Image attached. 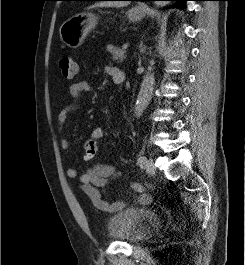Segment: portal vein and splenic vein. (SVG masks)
<instances>
[{"mask_svg":"<svg viewBox=\"0 0 245 265\" xmlns=\"http://www.w3.org/2000/svg\"><path fill=\"white\" fill-rule=\"evenodd\" d=\"M128 46H129V44H124V45L122 46V49H123V50H126V49L128 48Z\"/></svg>","mask_w":245,"mask_h":265,"instance_id":"portal-vein-and-splenic-vein-1","label":"portal vein and splenic vein"}]
</instances>
